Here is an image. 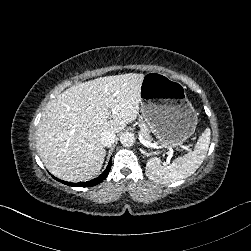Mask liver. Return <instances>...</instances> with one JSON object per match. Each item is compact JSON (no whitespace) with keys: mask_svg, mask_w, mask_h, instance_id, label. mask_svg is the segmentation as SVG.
<instances>
[{"mask_svg":"<svg viewBox=\"0 0 251 251\" xmlns=\"http://www.w3.org/2000/svg\"><path fill=\"white\" fill-rule=\"evenodd\" d=\"M143 79L144 74L137 73L100 77L71 86L53 99L36 132L45 167L69 182L98 175L106 155L101 133H119L137 118Z\"/></svg>","mask_w":251,"mask_h":251,"instance_id":"liver-1","label":"liver"}]
</instances>
